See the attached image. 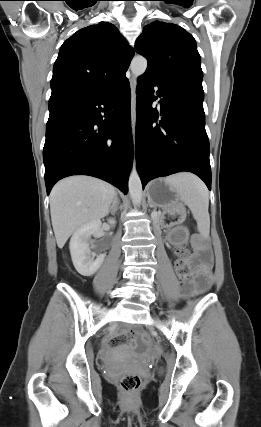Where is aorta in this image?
<instances>
[{"mask_svg":"<svg viewBox=\"0 0 261 427\" xmlns=\"http://www.w3.org/2000/svg\"><path fill=\"white\" fill-rule=\"evenodd\" d=\"M131 72L135 79L140 77L147 68V60L143 56H136L130 64ZM129 193L134 205L139 206L142 201V183L139 177L136 164H133L129 176Z\"/></svg>","mask_w":261,"mask_h":427,"instance_id":"aorta-1","label":"aorta"}]
</instances>
